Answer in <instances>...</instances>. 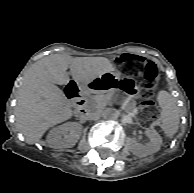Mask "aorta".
<instances>
[{"mask_svg":"<svg viewBox=\"0 0 194 193\" xmlns=\"http://www.w3.org/2000/svg\"><path fill=\"white\" fill-rule=\"evenodd\" d=\"M104 115L106 117H113V116L117 115V112L115 110H113V109H107L105 111Z\"/></svg>","mask_w":194,"mask_h":193,"instance_id":"aorta-1","label":"aorta"}]
</instances>
